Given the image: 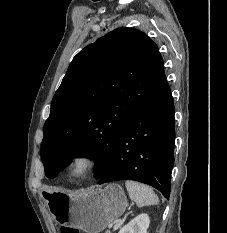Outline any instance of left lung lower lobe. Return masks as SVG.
Here are the masks:
<instances>
[{"label":"left lung lower lobe","instance_id":"1","mask_svg":"<svg viewBox=\"0 0 227 233\" xmlns=\"http://www.w3.org/2000/svg\"><path fill=\"white\" fill-rule=\"evenodd\" d=\"M174 103L168 83L122 131L99 184L135 180L170 195L174 163Z\"/></svg>","mask_w":227,"mask_h":233}]
</instances>
